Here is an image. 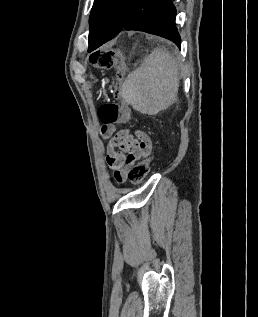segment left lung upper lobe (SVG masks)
I'll return each instance as SVG.
<instances>
[{
  "instance_id": "1",
  "label": "left lung upper lobe",
  "mask_w": 258,
  "mask_h": 317,
  "mask_svg": "<svg viewBox=\"0 0 258 317\" xmlns=\"http://www.w3.org/2000/svg\"><path fill=\"white\" fill-rule=\"evenodd\" d=\"M131 0H94L89 24L90 31L97 27L119 28L125 20Z\"/></svg>"
}]
</instances>
